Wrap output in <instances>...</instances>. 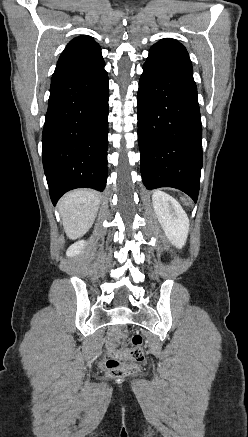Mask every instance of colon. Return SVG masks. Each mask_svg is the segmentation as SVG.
<instances>
[{"mask_svg":"<svg viewBox=\"0 0 248 437\" xmlns=\"http://www.w3.org/2000/svg\"><path fill=\"white\" fill-rule=\"evenodd\" d=\"M130 342L131 347L121 353V356L128 359L127 363H123L117 357H109L102 360L101 367L107 376L121 378L137 371L138 364L143 362L145 358L142 346L143 338L140 334H134Z\"/></svg>","mask_w":248,"mask_h":437,"instance_id":"5ec220e1","label":"colon"}]
</instances>
